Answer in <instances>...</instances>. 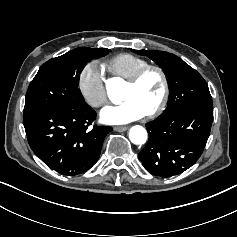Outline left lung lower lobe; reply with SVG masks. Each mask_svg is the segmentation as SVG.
Instances as JSON below:
<instances>
[{
  "label": "left lung lower lobe",
  "mask_w": 237,
  "mask_h": 237,
  "mask_svg": "<svg viewBox=\"0 0 237 237\" xmlns=\"http://www.w3.org/2000/svg\"><path fill=\"white\" fill-rule=\"evenodd\" d=\"M174 122H181L186 120H201L206 123L210 128L213 122V109H192L176 111L167 117ZM196 160H176L171 163L173 166H180L188 169ZM162 163L144 165V167L155 175L157 170Z\"/></svg>",
  "instance_id": "left-lung-lower-lobe-1"
}]
</instances>
